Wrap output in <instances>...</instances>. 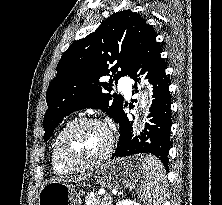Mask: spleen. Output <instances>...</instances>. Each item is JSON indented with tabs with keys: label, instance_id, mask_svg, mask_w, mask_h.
<instances>
[{
	"label": "spleen",
	"instance_id": "1",
	"mask_svg": "<svg viewBox=\"0 0 222 205\" xmlns=\"http://www.w3.org/2000/svg\"><path fill=\"white\" fill-rule=\"evenodd\" d=\"M140 196L146 205H161L166 185V172L161 162L151 155L141 156Z\"/></svg>",
	"mask_w": 222,
	"mask_h": 205
}]
</instances>
